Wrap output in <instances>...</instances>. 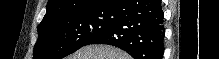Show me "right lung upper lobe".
I'll return each instance as SVG.
<instances>
[{
	"mask_svg": "<svg viewBox=\"0 0 219 59\" xmlns=\"http://www.w3.org/2000/svg\"><path fill=\"white\" fill-rule=\"evenodd\" d=\"M118 0H49L40 24L57 18L113 9Z\"/></svg>",
	"mask_w": 219,
	"mask_h": 59,
	"instance_id": "right-lung-upper-lobe-1",
	"label": "right lung upper lobe"
}]
</instances>
